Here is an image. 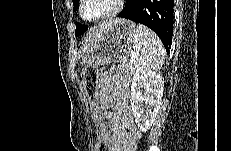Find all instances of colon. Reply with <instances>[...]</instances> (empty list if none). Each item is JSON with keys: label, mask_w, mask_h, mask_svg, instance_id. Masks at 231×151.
<instances>
[{"label": "colon", "mask_w": 231, "mask_h": 151, "mask_svg": "<svg viewBox=\"0 0 231 151\" xmlns=\"http://www.w3.org/2000/svg\"><path fill=\"white\" fill-rule=\"evenodd\" d=\"M98 79L99 69L96 66L90 65L83 70L82 81L98 135L96 151H111L107 141V124L97 95Z\"/></svg>", "instance_id": "5ec220e1"}]
</instances>
